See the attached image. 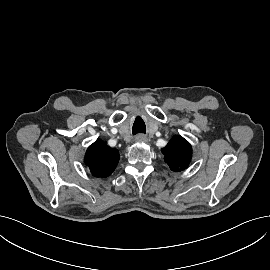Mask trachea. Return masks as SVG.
<instances>
[{
  "instance_id": "3493384b",
  "label": "trachea",
  "mask_w": 270,
  "mask_h": 270,
  "mask_svg": "<svg viewBox=\"0 0 270 270\" xmlns=\"http://www.w3.org/2000/svg\"><path fill=\"white\" fill-rule=\"evenodd\" d=\"M133 135L137 133H146V127L143 122H135L133 125Z\"/></svg>"
}]
</instances>
